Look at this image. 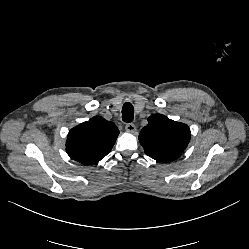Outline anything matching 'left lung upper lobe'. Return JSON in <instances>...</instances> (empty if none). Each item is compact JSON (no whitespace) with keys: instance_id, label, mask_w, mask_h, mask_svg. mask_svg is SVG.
Listing matches in <instances>:
<instances>
[{"instance_id":"5c2ea615","label":"left lung upper lobe","mask_w":249,"mask_h":249,"mask_svg":"<svg viewBox=\"0 0 249 249\" xmlns=\"http://www.w3.org/2000/svg\"><path fill=\"white\" fill-rule=\"evenodd\" d=\"M139 140L146 155L161 162H170L180 157L187 147L190 129L186 124L162 114H154L141 130Z\"/></svg>"}]
</instances>
